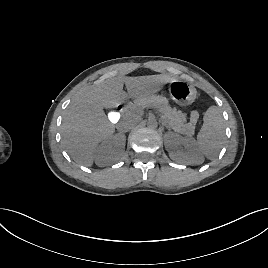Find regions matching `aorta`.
<instances>
[{
	"label": "aorta",
	"mask_w": 268,
	"mask_h": 268,
	"mask_svg": "<svg viewBox=\"0 0 268 268\" xmlns=\"http://www.w3.org/2000/svg\"><path fill=\"white\" fill-rule=\"evenodd\" d=\"M147 127L150 129H156L158 127V122L155 117H149L147 120Z\"/></svg>",
	"instance_id": "762f6f07"
}]
</instances>
